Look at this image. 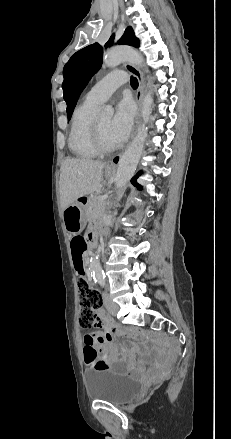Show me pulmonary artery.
Instances as JSON below:
<instances>
[{"label":"pulmonary artery","mask_w":231,"mask_h":439,"mask_svg":"<svg viewBox=\"0 0 231 439\" xmlns=\"http://www.w3.org/2000/svg\"><path fill=\"white\" fill-rule=\"evenodd\" d=\"M127 75L123 71H114L98 81L86 94L89 101L101 104L121 85L126 83Z\"/></svg>","instance_id":"1"}]
</instances>
